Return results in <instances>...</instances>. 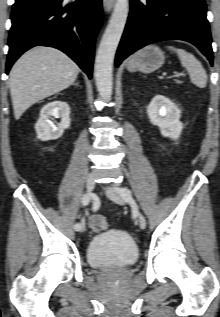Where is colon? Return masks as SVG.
Returning a JSON list of instances; mask_svg holds the SVG:
<instances>
[{
  "mask_svg": "<svg viewBox=\"0 0 220 317\" xmlns=\"http://www.w3.org/2000/svg\"><path fill=\"white\" fill-rule=\"evenodd\" d=\"M89 225L94 232H101L108 228V221L101 215H93L89 219Z\"/></svg>",
  "mask_w": 220,
  "mask_h": 317,
  "instance_id": "obj_1",
  "label": "colon"
}]
</instances>
